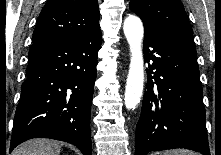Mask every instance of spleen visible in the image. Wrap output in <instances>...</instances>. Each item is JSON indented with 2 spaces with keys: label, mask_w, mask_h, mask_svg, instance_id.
Masks as SVG:
<instances>
[{
  "label": "spleen",
  "mask_w": 221,
  "mask_h": 155,
  "mask_svg": "<svg viewBox=\"0 0 221 155\" xmlns=\"http://www.w3.org/2000/svg\"><path fill=\"white\" fill-rule=\"evenodd\" d=\"M164 155H195V153L187 150H172V151H167L164 153Z\"/></svg>",
  "instance_id": "1"
}]
</instances>
